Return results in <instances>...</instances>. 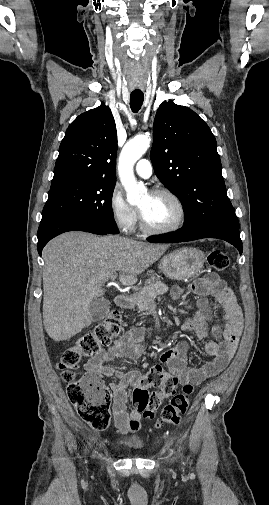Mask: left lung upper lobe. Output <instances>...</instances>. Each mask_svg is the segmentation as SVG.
I'll return each mask as SVG.
<instances>
[{
  "mask_svg": "<svg viewBox=\"0 0 269 505\" xmlns=\"http://www.w3.org/2000/svg\"><path fill=\"white\" fill-rule=\"evenodd\" d=\"M216 148L210 128L194 111L171 100L159 106L150 158L157 177L182 202L185 232L239 227Z\"/></svg>",
  "mask_w": 269,
  "mask_h": 505,
  "instance_id": "obj_1",
  "label": "left lung upper lobe"
}]
</instances>
